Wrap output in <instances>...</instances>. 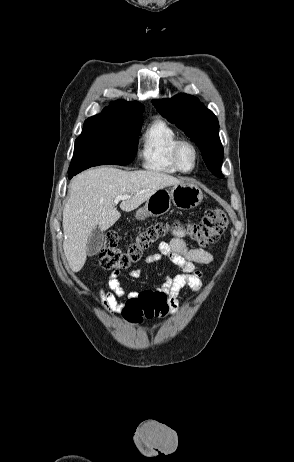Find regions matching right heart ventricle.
<instances>
[{"label": "right heart ventricle", "mask_w": 294, "mask_h": 462, "mask_svg": "<svg viewBox=\"0 0 294 462\" xmlns=\"http://www.w3.org/2000/svg\"><path fill=\"white\" fill-rule=\"evenodd\" d=\"M179 139L177 132L165 120H153L141 138L139 156L142 166L155 173H178L172 161V150Z\"/></svg>", "instance_id": "obj_1"}]
</instances>
